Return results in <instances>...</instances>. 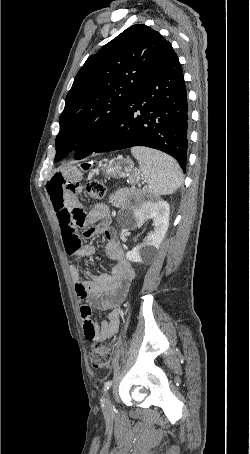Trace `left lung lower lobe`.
<instances>
[{
    "mask_svg": "<svg viewBox=\"0 0 250 454\" xmlns=\"http://www.w3.org/2000/svg\"><path fill=\"white\" fill-rule=\"evenodd\" d=\"M188 119L183 71L174 52L134 94L108 136L92 152L146 146L171 155L185 172Z\"/></svg>",
    "mask_w": 250,
    "mask_h": 454,
    "instance_id": "left-lung-lower-lobe-1",
    "label": "left lung lower lobe"
}]
</instances>
